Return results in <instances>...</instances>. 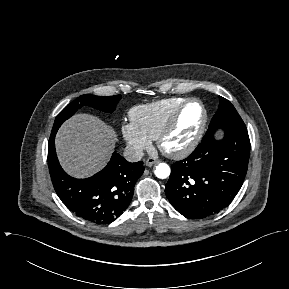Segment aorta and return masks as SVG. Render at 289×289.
Listing matches in <instances>:
<instances>
[{"mask_svg": "<svg viewBox=\"0 0 289 289\" xmlns=\"http://www.w3.org/2000/svg\"><path fill=\"white\" fill-rule=\"evenodd\" d=\"M170 172V167L166 163H160L158 166H156V169L154 171L155 176L160 179H166L167 177H169Z\"/></svg>", "mask_w": 289, "mask_h": 289, "instance_id": "762f6f07", "label": "aorta"}]
</instances>
